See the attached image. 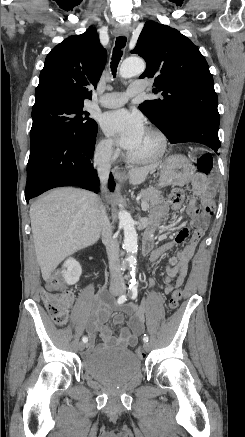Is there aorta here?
<instances>
[{"instance_id":"obj_1","label":"aorta","mask_w":245,"mask_h":437,"mask_svg":"<svg viewBox=\"0 0 245 437\" xmlns=\"http://www.w3.org/2000/svg\"><path fill=\"white\" fill-rule=\"evenodd\" d=\"M145 63L141 58H128L126 59L120 67V76L123 78H130L135 75L141 74L145 70ZM119 225L124 230V249L129 253L127 261L133 268L136 264V253L138 250V235L135 229V222L132 219L130 213L125 210H120L118 213ZM132 277L134 276V271L131 272Z\"/></svg>"}]
</instances>
